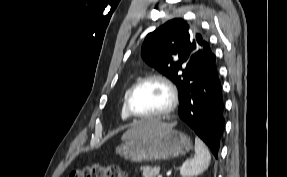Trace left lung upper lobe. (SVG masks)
I'll return each mask as SVG.
<instances>
[{
	"label": "left lung upper lobe",
	"instance_id": "5c2ea615",
	"mask_svg": "<svg viewBox=\"0 0 287 177\" xmlns=\"http://www.w3.org/2000/svg\"><path fill=\"white\" fill-rule=\"evenodd\" d=\"M141 54L150 66L177 86L180 96L212 51L209 43L186 21L175 18L146 36Z\"/></svg>",
	"mask_w": 287,
	"mask_h": 177
}]
</instances>
